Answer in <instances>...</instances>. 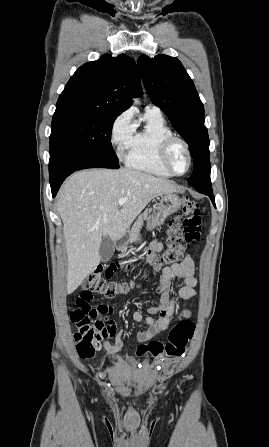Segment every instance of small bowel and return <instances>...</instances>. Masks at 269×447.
<instances>
[{"mask_svg":"<svg viewBox=\"0 0 269 447\" xmlns=\"http://www.w3.org/2000/svg\"><path fill=\"white\" fill-rule=\"evenodd\" d=\"M153 252H160L162 250V243L154 241L151 245ZM195 263L191 256L186 255L181 263L174 264L163 268L160 275V282L157 286V293L159 298L149 306L148 312L156 315L145 316L141 312H134L133 319L137 322H144L147 329L138 333V340L140 342H147L159 333L165 331L176 309L177 299H191L197 295L195 286L197 285V278L195 277ZM177 279L183 283L175 293L172 292V283ZM191 316L190 310H183L180 313L181 319H186ZM121 342L115 344L104 343L105 357L103 363H108L121 349Z\"/></svg>","mask_w":269,"mask_h":447,"instance_id":"obj_1","label":"small bowel"}]
</instances>
